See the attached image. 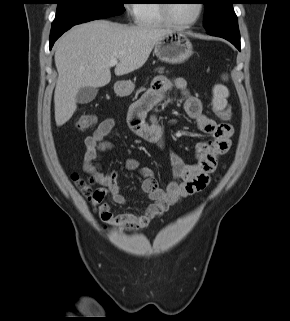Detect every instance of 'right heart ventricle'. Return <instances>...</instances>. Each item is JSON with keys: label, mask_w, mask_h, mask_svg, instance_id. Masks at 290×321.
I'll use <instances>...</instances> for the list:
<instances>
[{"label": "right heart ventricle", "mask_w": 290, "mask_h": 321, "mask_svg": "<svg viewBox=\"0 0 290 321\" xmlns=\"http://www.w3.org/2000/svg\"><path fill=\"white\" fill-rule=\"evenodd\" d=\"M134 6L136 22L140 25L155 26L166 25L160 9V0H139Z\"/></svg>", "instance_id": "right-heart-ventricle-1"}]
</instances>
